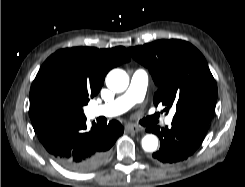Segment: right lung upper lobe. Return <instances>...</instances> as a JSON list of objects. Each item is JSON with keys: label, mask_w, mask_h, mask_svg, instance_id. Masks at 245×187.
<instances>
[{"label": "right lung upper lobe", "mask_w": 245, "mask_h": 187, "mask_svg": "<svg viewBox=\"0 0 245 187\" xmlns=\"http://www.w3.org/2000/svg\"><path fill=\"white\" fill-rule=\"evenodd\" d=\"M129 60L130 57L122 46L111 49L74 47L56 51L43 63L40 70L64 71L89 98H93L99 93L108 71ZM30 118L35 132L50 124L31 115Z\"/></svg>", "instance_id": "right-lung-upper-lobe-1"}]
</instances>
